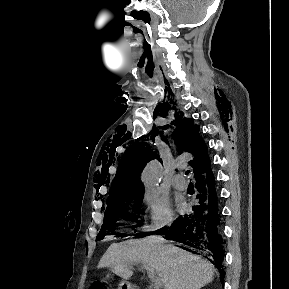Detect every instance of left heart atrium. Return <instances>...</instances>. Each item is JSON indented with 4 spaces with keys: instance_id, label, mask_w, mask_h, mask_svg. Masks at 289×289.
I'll return each mask as SVG.
<instances>
[{
    "instance_id": "39dd6f15",
    "label": "left heart atrium",
    "mask_w": 289,
    "mask_h": 289,
    "mask_svg": "<svg viewBox=\"0 0 289 289\" xmlns=\"http://www.w3.org/2000/svg\"><path fill=\"white\" fill-rule=\"evenodd\" d=\"M178 206L182 207V201L181 200L178 201Z\"/></svg>"
}]
</instances>
